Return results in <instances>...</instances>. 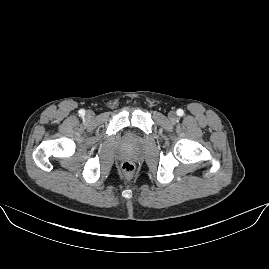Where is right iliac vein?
<instances>
[{
	"label": "right iliac vein",
	"instance_id": "63e3f726",
	"mask_svg": "<svg viewBox=\"0 0 269 269\" xmlns=\"http://www.w3.org/2000/svg\"><path fill=\"white\" fill-rule=\"evenodd\" d=\"M94 116H95V113H94L93 111L88 110V111L86 112V118H87V119H93Z\"/></svg>",
	"mask_w": 269,
	"mask_h": 269
}]
</instances>
